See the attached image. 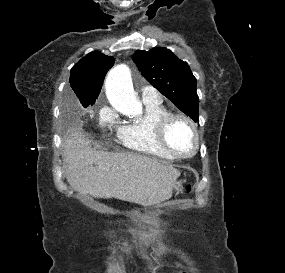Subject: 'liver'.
I'll return each mask as SVG.
<instances>
[{"mask_svg":"<svg viewBox=\"0 0 285 273\" xmlns=\"http://www.w3.org/2000/svg\"><path fill=\"white\" fill-rule=\"evenodd\" d=\"M66 179L81 194L116 198L143 206L168 200L180 171L155 158L126 152L97 151L79 131H71L63 142Z\"/></svg>","mask_w":285,"mask_h":273,"instance_id":"obj_1","label":"liver"}]
</instances>
